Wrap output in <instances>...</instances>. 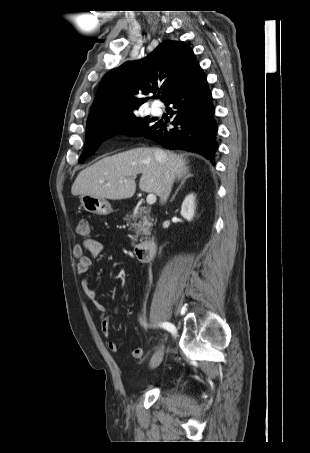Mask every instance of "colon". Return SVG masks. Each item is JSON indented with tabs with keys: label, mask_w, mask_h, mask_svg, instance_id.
Returning a JSON list of instances; mask_svg holds the SVG:
<instances>
[{
	"label": "colon",
	"mask_w": 310,
	"mask_h": 453,
	"mask_svg": "<svg viewBox=\"0 0 310 453\" xmlns=\"http://www.w3.org/2000/svg\"><path fill=\"white\" fill-rule=\"evenodd\" d=\"M77 233L81 237H87L90 234V226L88 221L81 220L77 226Z\"/></svg>",
	"instance_id": "colon-1"
}]
</instances>
